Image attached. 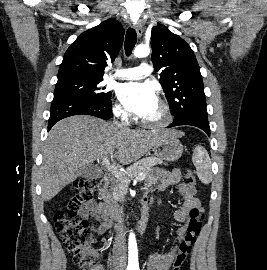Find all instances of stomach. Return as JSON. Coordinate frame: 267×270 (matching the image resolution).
Returning a JSON list of instances; mask_svg holds the SVG:
<instances>
[{"label":"stomach","mask_w":267,"mask_h":270,"mask_svg":"<svg viewBox=\"0 0 267 270\" xmlns=\"http://www.w3.org/2000/svg\"><path fill=\"white\" fill-rule=\"evenodd\" d=\"M153 151L161 160L176 161L183 153V145L176 136H167L154 147Z\"/></svg>","instance_id":"obj_1"}]
</instances>
